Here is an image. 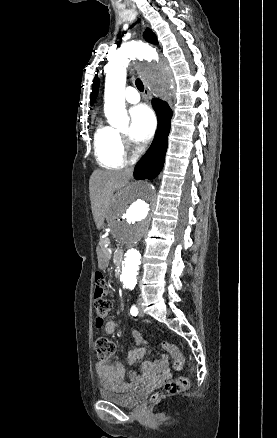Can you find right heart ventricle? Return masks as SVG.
<instances>
[{
	"label": "right heart ventricle",
	"mask_w": 277,
	"mask_h": 438,
	"mask_svg": "<svg viewBox=\"0 0 277 438\" xmlns=\"http://www.w3.org/2000/svg\"><path fill=\"white\" fill-rule=\"evenodd\" d=\"M94 149L97 161L101 166L112 170L123 168L125 154L122 138L120 131L114 126L101 124L97 128L94 135Z\"/></svg>",
	"instance_id": "e07e8e85"
}]
</instances>
